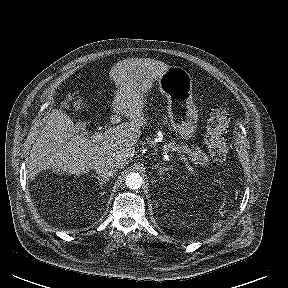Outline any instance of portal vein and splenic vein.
<instances>
[{
	"instance_id": "1",
	"label": "portal vein and splenic vein",
	"mask_w": 288,
	"mask_h": 288,
	"mask_svg": "<svg viewBox=\"0 0 288 288\" xmlns=\"http://www.w3.org/2000/svg\"><path fill=\"white\" fill-rule=\"evenodd\" d=\"M102 135H103V134H102L101 132H96L91 138H92L93 141H98V140H101V139L103 138ZM179 158H180L181 160H183L184 165H185L187 168H191L188 159H187L186 157H184V155H180V154H179Z\"/></svg>"
}]
</instances>
